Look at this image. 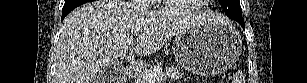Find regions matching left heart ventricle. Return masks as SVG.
I'll return each mask as SVG.
<instances>
[{
    "instance_id": "obj_1",
    "label": "left heart ventricle",
    "mask_w": 307,
    "mask_h": 83,
    "mask_svg": "<svg viewBox=\"0 0 307 83\" xmlns=\"http://www.w3.org/2000/svg\"><path fill=\"white\" fill-rule=\"evenodd\" d=\"M200 0H173V6L176 8L187 9L195 6ZM202 2V1H200Z\"/></svg>"
}]
</instances>
